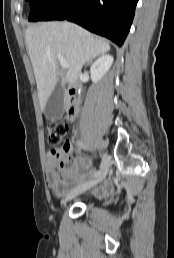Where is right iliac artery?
Here are the masks:
<instances>
[{"label": "right iliac artery", "mask_w": 174, "mask_h": 258, "mask_svg": "<svg viewBox=\"0 0 174 258\" xmlns=\"http://www.w3.org/2000/svg\"><path fill=\"white\" fill-rule=\"evenodd\" d=\"M78 144H79L81 147L86 148V146H85L81 141H79ZM99 174H100V171L96 172V173L94 174V176H98Z\"/></svg>", "instance_id": "82829eb1"}]
</instances>
